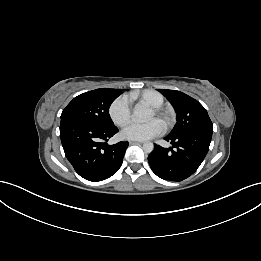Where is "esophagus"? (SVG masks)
Listing matches in <instances>:
<instances>
[{
	"label": "esophagus",
	"instance_id": "obj_1",
	"mask_svg": "<svg viewBox=\"0 0 261 261\" xmlns=\"http://www.w3.org/2000/svg\"><path fill=\"white\" fill-rule=\"evenodd\" d=\"M129 143L131 145H138V144H142L143 142L131 140V141H129Z\"/></svg>",
	"mask_w": 261,
	"mask_h": 261
}]
</instances>
